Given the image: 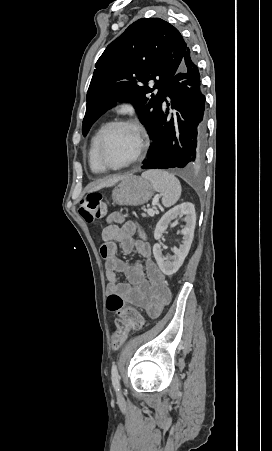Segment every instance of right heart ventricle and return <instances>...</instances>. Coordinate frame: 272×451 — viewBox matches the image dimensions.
Masks as SVG:
<instances>
[{
	"instance_id": "right-heart-ventricle-1",
	"label": "right heart ventricle",
	"mask_w": 272,
	"mask_h": 451,
	"mask_svg": "<svg viewBox=\"0 0 272 451\" xmlns=\"http://www.w3.org/2000/svg\"><path fill=\"white\" fill-rule=\"evenodd\" d=\"M100 132H98L93 140H92V144L89 150V155H88V164H89V168L91 170L92 173L98 174L99 172V167H98V163L96 160V143L98 140Z\"/></svg>"
}]
</instances>
